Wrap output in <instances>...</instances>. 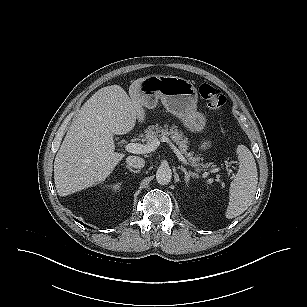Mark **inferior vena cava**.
I'll use <instances>...</instances> for the list:
<instances>
[{"instance_id": "obj_1", "label": "inferior vena cava", "mask_w": 307, "mask_h": 307, "mask_svg": "<svg viewBox=\"0 0 307 307\" xmlns=\"http://www.w3.org/2000/svg\"><path fill=\"white\" fill-rule=\"evenodd\" d=\"M126 163L129 167L137 169L143 168L145 165L144 159L138 156H128L126 158Z\"/></svg>"}]
</instances>
